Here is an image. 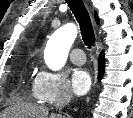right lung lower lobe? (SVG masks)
<instances>
[{
	"label": "right lung lower lobe",
	"mask_w": 133,
	"mask_h": 118,
	"mask_svg": "<svg viewBox=\"0 0 133 118\" xmlns=\"http://www.w3.org/2000/svg\"><path fill=\"white\" fill-rule=\"evenodd\" d=\"M105 61H104V53L102 52L100 54V58H99V72H98V79L101 80L103 77V73H104V68H105Z\"/></svg>",
	"instance_id": "right-lung-lower-lobe-1"
}]
</instances>
